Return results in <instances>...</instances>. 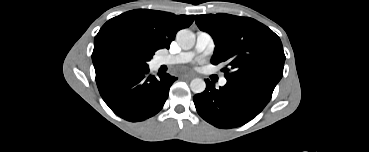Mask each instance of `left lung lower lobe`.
I'll list each match as a JSON object with an SVG mask.
<instances>
[{"label":"left lung lower lobe","instance_id":"1","mask_svg":"<svg viewBox=\"0 0 369 152\" xmlns=\"http://www.w3.org/2000/svg\"><path fill=\"white\" fill-rule=\"evenodd\" d=\"M206 89L193 98L198 114L218 128L240 127L256 117L268 104L274 87L227 80L216 89L205 80Z\"/></svg>","mask_w":369,"mask_h":152}]
</instances>
